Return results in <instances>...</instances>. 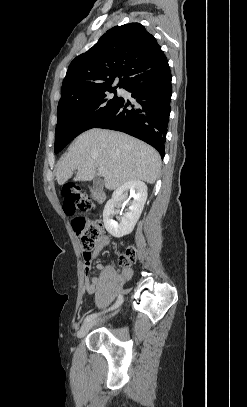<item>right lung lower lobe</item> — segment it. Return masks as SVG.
<instances>
[{"mask_svg": "<svg viewBox=\"0 0 247 407\" xmlns=\"http://www.w3.org/2000/svg\"><path fill=\"white\" fill-rule=\"evenodd\" d=\"M168 61L130 78L123 87L135 103L122 101L105 119L95 125L125 132L153 146L163 158L172 95ZM132 109H127V106Z\"/></svg>", "mask_w": 247, "mask_h": 407, "instance_id": "98d812e1", "label": "right lung lower lobe"}]
</instances>
